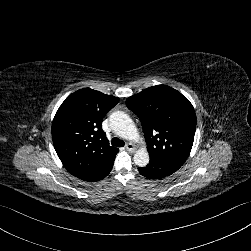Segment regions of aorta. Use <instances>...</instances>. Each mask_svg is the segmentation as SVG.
Instances as JSON below:
<instances>
[{"mask_svg": "<svg viewBox=\"0 0 251 251\" xmlns=\"http://www.w3.org/2000/svg\"><path fill=\"white\" fill-rule=\"evenodd\" d=\"M109 123L112 131L125 139H139L137 128L132 119L123 111L113 112L109 117ZM134 163L139 167H145L149 163V154L146 148L135 152Z\"/></svg>", "mask_w": 251, "mask_h": 251, "instance_id": "762f6f07", "label": "aorta"}]
</instances>
